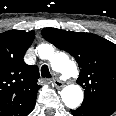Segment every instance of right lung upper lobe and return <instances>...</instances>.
<instances>
[{"label":"right lung upper lobe","mask_w":116,"mask_h":116,"mask_svg":"<svg viewBox=\"0 0 116 116\" xmlns=\"http://www.w3.org/2000/svg\"><path fill=\"white\" fill-rule=\"evenodd\" d=\"M34 37V31L0 34V116H27L35 107L39 70L23 61Z\"/></svg>","instance_id":"1"}]
</instances>
